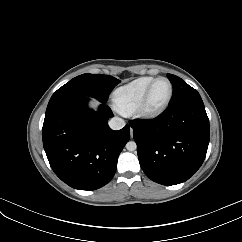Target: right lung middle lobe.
Instances as JSON below:
<instances>
[{
    "mask_svg": "<svg viewBox=\"0 0 242 242\" xmlns=\"http://www.w3.org/2000/svg\"><path fill=\"white\" fill-rule=\"evenodd\" d=\"M120 81L109 75L82 74L59 88L51 97L48 107L54 103L73 97H94L106 101L111 90Z\"/></svg>",
    "mask_w": 242,
    "mask_h": 242,
    "instance_id": "obj_1",
    "label": "right lung middle lobe"
}]
</instances>
